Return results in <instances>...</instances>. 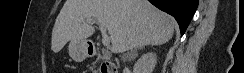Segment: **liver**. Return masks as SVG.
<instances>
[{
  "label": "liver",
  "instance_id": "obj_1",
  "mask_svg": "<svg viewBox=\"0 0 244 73\" xmlns=\"http://www.w3.org/2000/svg\"><path fill=\"white\" fill-rule=\"evenodd\" d=\"M87 19L105 26L113 53L162 45L177 26L173 17L147 0H66L53 27L52 51L58 53L68 41H86L93 35L95 29Z\"/></svg>",
  "mask_w": 244,
  "mask_h": 73
}]
</instances>
